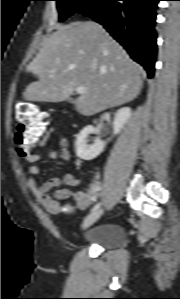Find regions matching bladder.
I'll return each instance as SVG.
<instances>
[{"mask_svg": "<svg viewBox=\"0 0 180 299\" xmlns=\"http://www.w3.org/2000/svg\"><path fill=\"white\" fill-rule=\"evenodd\" d=\"M125 238L122 226L115 223H105L87 230L82 240L105 248H117Z\"/></svg>", "mask_w": 180, "mask_h": 299, "instance_id": "31cf9c89", "label": "bladder"}]
</instances>
